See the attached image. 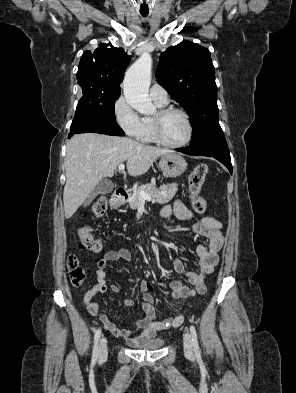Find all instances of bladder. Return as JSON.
Instances as JSON below:
<instances>
[{
  "label": "bladder",
  "mask_w": 296,
  "mask_h": 393,
  "mask_svg": "<svg viewBox=\"0 0 296 393\" xmlns=\"http://www.w3.org/2000/svg\"><path fill=\"white\" fill-rule=\"evenodd\" d=\"M164 343L165 340L163 338H156V339L149 340L139 345L138 347L144 350H158L164 345Z\"/></svg>",
  "instance_id": "bladder-1"
}]
</instances>
